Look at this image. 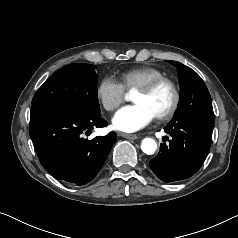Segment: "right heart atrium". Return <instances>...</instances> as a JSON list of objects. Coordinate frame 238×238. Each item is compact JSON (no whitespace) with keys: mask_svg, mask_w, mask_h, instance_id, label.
Listing matches in <instances>:
<instances>
[{"mask_svg":"<svg viewBox=\"0 0 238 238\" xmlns=\"http://www.w3.org/2000/svg\"><path fill=\"white\" fill-rule=\"evenodd\" d=\"M96 95L105 110L114 111L124 101L125 89L115 78L104 77L97 86Z\"/></svg>","mask_w":238,"mask_h":238,"instance_id":"1","label":"right heart atrium"}]
</instances>
